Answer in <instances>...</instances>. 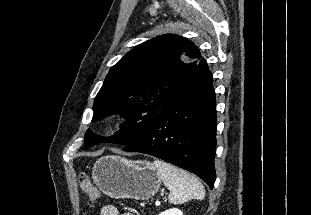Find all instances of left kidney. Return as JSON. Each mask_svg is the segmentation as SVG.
Wrapping results in <instances>:
<instances>
[{"label": "left kidney", "mask_w": 311, "mask_h": 215, "mask_svg": "<svg viewBox=\"0 0 311 215\" xmlns=\"http://www.w3.org/2000/svg\"><path fill=\"white\" fill-rule=\"evenodd\" d=\"M159 215H183V213L178 208H172L164 212H161Z\"/></svg>", "instance_id": "left-kidney-1"}]
</instances>
